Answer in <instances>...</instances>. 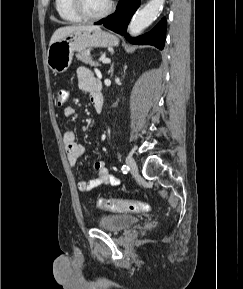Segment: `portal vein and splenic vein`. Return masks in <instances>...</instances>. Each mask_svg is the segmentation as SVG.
<instances>
[{
  "instance_id": "1",
  "label": "portal vein and splenic vein",
  "mask_w": 243,
  "mask_h": 289,
  "mask_svg": "<svg viewBox=\"0 0 243 289\" xmlns=\"http://www.w3.org/2000/svg\"><path fill=\"white\" fill-rule=\"evenodd\" d=\"M101 62H102L103 64H108V63L111 62V60H110L109 58H103V59H101Z\"/></svg>"
}]
</instances>
